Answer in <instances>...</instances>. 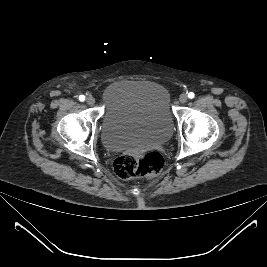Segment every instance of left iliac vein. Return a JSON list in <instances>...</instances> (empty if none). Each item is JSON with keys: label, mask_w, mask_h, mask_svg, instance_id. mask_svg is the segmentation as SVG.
<instances>
[{"label": "left iliac vein", "mask_w": 267, "mask_h": 267, "mask_svg": "<svg viewBox=\"0 0 267 267\" xmlns=\"http://www.w3.org/2000/svg\"><path fill=\"white\" fill-rule=\"evenodd\" d=\"M187 99H188V96L185 93L181 94L180 97H179V101L181 103H185L187 101Z\"/></svg>", "instance_id": "4c4485c4"}]
</instances>
